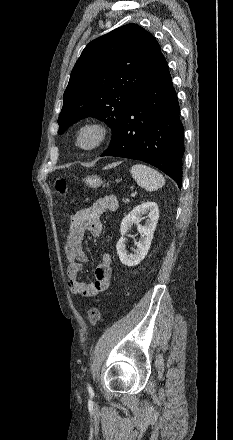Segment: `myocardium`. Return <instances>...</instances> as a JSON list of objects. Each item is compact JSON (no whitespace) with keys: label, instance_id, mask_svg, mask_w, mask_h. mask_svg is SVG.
Segmentation results:
<instances>
[{"label":"myocardium","instance_id":"1","mask_svg":"<svg viewBox=\"0 0 233 440\" xmlns=\"http://www.w3.org/2000/svg\"><path fill=\"white\" fill-rule=\"evenodd\" d=\"M92 131L95 133V140L89 145H84L81 142L82 135L87 132ZM110 137L109 127L99 120H89L82 123L76 130L75 133V145L77 148L83 151H94L103 147Z\"/></svg>","mask_w":233,"mask_h":440}]
</instances>
